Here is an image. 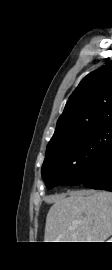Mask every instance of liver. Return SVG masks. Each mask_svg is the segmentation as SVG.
<instances>
[{"mask_svg":"<svg viewBox=\"0 0 112 270\" xmlns=\"http://www.w3.org/2000/svg\"><path fill=\"white\" fill-rule=\"evenodd\" d=\"M53 200L44 242H105L112 235L111 192L72 191Z\"/></svg>","mask_w":112,"mask_h":270,"instance_id":"1","label":"liver"}]
</instances>
